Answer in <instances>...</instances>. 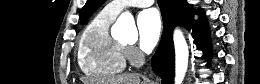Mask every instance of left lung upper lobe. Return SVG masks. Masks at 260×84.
Here are the masks:
<instances>
[{"instance_id": "obj_1", "label": "left lung upper lobe", "mask_w": 260, "mask_h": 84, "mask_svg": "<svg viewBox=\"0 0 260 84\" xmlns=\"http://www.w3.org/2000/svg\"><path fill=\"white\" fill-rule=\"evenodd\" d=\"M104 2L105 0H87L85 6L82 8L80 12L81 20H86Z\"/></svg>"}]
</instances>
